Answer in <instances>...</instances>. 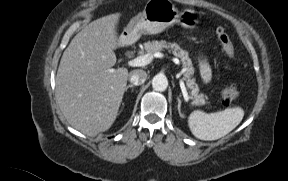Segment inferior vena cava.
I'll list each match as a JSON object with an SVG mask.
<instances>
[{
	"label": "inferior vena cava",
	"mask_w": 288,
	"mask_h": 181,
	"mask_svg": "<svg viewBox=\"0 0 288 181\" xmlns=\"http://www.w3.org/2000/svg\"><path fill=\"white\" fill-rule=\"evenodd\" d=\"M147 79V73L144 70H133L130 72L129 81L133 85H142Z\"/></svg>",
	"instance_id": "602c4592"
}]
</instances>
